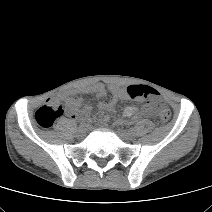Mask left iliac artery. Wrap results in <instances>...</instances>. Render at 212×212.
<instances>
[{"label":"left iliac artery","instance_id":"1","mask_svg":"<svg viewBox=\"0 0 212 212\" xmlns=\"http://www.w3.org/2000/svg\"><path fill=\"white\" fill-rule=\"evenodd\" d=\"M130 132H132V133H133V132H134V128H131V129H130Z\"/></svg>","mask_w":212,"mask_h":212}]
</instances>
